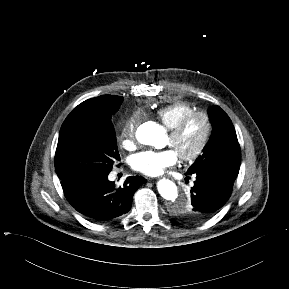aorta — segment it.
Here are the masks:
<instances>
[{
    "label": "aorta",
    "instance_id": "obj_1",
    "mask_svg": "<svg viewBox=\"0 0 289 289\" xmlns=\"http://www.w3.org/2000/svg\"><path fill=\"white\" fill-rule=\"evenodd\" d=\"M164 136V129L156 123L148 122L141 125L136 133L137 140L144 145L159 148ZM159 194L166 200L173 202L175 206L187 204V200L179 199L178 189L175 183L168 179H162L157 184Z\"/></svg>",
    "mask_w": 289,
    "mask_h": 289
}]
</instances>
